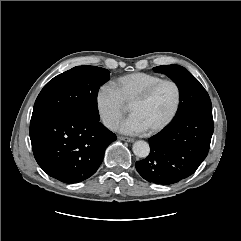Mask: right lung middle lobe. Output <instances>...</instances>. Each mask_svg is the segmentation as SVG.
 Returning a JSON list of instances; mask_svg holds the SVG:
<instances>
[{
    "label": "right lung middle lobe",
    "mask_w": 241,
    "mask_h": 241,
    "mask_svg": "<svg viewBox=\"0 0 241 241\" xmlns=\"http://www.w3.org/2000/svg\"><path fill=\"white\" fill-rule=\"evenodd\" d=\"M109 80V71L77 66L50 80L38 95L32 117L49 113H74L99 120L98 89Z\"/></svg>",
    "instance_id": "dd1d6c3e"
}]
</instances>
